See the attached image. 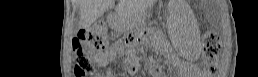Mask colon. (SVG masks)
I'll list each match as a JSON object with an SVG mask.
<instances>
[{"instance_id":"5ec220e1","label":"colon","mask_w":258,"mask_h":77,"mask_svg":"<svg viewBox=\"0 0 258 77\" xmlns=\"http://www.w3.org/2000/svg\"><path fill=\"white\" fill-rule=\"evenodd\" d=\"M124 40L126 42L128 37H125ZM107 44V28L104 24L96 22L87 28L81 29L73 41L76 49L74 63L76 75L82 76L91 68L88 58L82 53V49H104ZM220 48L219 37L215 33L207 32L203 39V56L209 70L213 73L216 72L214 60L219 55Z\"/></svg>"}]
</instances>
